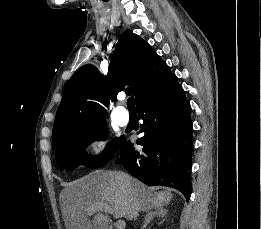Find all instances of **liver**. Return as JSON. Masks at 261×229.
Listing matches in <instances>:
<instances>
[{
  "mask_svg": "<svg viewBox=\"0 0 261 229\" xmlns=\"http://www.w3.org/2000/svg\"><path fill=\"white\" fill-rule=\"evenodd\" d=\"M128 177V175H126ZM130 179V189L137 195L139 211H149L152 207H165L172 201L171 189L148 193L145 185ZM131 193L122 173L116 171H94L86 177L70 183L65 197L63 215L67 229H107L108 217L99 211L113 215L115 219L126 217L132 221ZM95 215L93 221L88 217Z\"/></svg>",
  "mask_w": 261,
  "mask_h": 229,
  "instance_id": "6515ba94",
  "label": "liver"
}]
</instances>
